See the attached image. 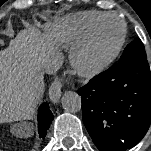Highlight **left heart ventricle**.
<instances>
[{
    "label": "left heart ventricle",
    "instance_id": "left-heart-ventricle-1",
    "mask_svg": "<svg viewBox=\"0 0 151 151\" xmlns=\"http://www.w3.org/2000/svg\"><path fill=\"white\" fill-rule=\"evenodd\" d=\"M122 26L115 18H109L102 23L89 49V58L99 61L105 58L115 47Z\"/></svg>",
    "mask_w": 151,
    "mask_h": 151
}]
</instances>
